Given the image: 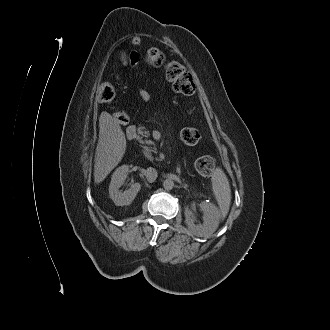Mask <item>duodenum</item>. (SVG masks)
I'll return each mask as SVG.
<instances>
[{
  "label": "duodenum",
  "mask_w": 330,
  "mask_h": 330,
  "mask_svg": "<svg viewBox=\"0 0 330 330\" xmlns=\"http://www.w3.org/2000/svg\"><path fill=\"white\" fill-rule=\"evenodd\" d=\"M136 129L134 127H129L127 130V136L129 139H133L135 135Z\"/></svg>",
  "instance_id": "1"
}]
</instances>
